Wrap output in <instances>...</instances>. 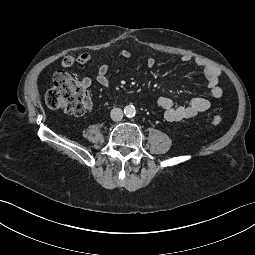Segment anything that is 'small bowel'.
<instances>
[{"instance_id":"c3829d8e","label":"small bowel","mask_w":255,"mask_h":255,"mask_svg":"<svg viewBox=\"0 0 255 255\" xmlns=\"http://www.w3.org/2000/svg\"><path fill=\"white\" fill-rule=\"evenodd\" d=\"M119 57L123 61H127L131 58V53L128 50H122L119 53ZM90 60L88 53H81L78 56L68 55L62 59L61 66L63 68H71L74 65H84ZM182 62H192L198 69H200L207 81L208 89L212 97L219 99L222 97L223 91L219 86V78L222 74L221 70L216 66L206 62L202 58H192L189 55L181 57ZM156 61L153 57L147 58L146 65L148 69H153ZM112 69L111 64H103L99 67L95 80L98 84L104 87L111 85L109 72ZM82 83L89 87L91 80L84 78ZM157 105L164 112V117L170 122H178L183 120H189L198 114L210 109L211 102L204 97H193L186 105H176L172 99L166 96H160L157 99Z\"/></svg>"}]
</instances>
